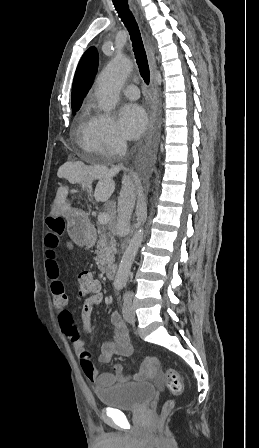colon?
<instances>
[{
    "label": "colon",
    "instance_id": "obj_1",
    "mask_svg": "<svg viewBox=\"0 0 259 448\" xmlns=\"http://www.w3.org/2000/svg\"><path fill=\"white\" fill-rule=\"evenodd\" d=\"M78 293L80 296H92L100 292L98 281L89 273L82 272L77 278ZM169 390L174 395H180L183 392L184 385L181 375L174 368L166 367L164 370ZM174 406L173 400H168L163 407L162 417H164Z\"/></svg>",
    "mask_w": 259,
    "mask_h": 448
}]
</instances>
